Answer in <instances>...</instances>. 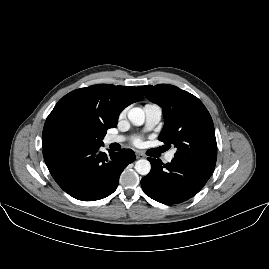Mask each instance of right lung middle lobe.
<instances>
[{"mask_svg": "<svg viewBox=\"0 0 269 269\" xmlns=\"http://www.w3.org/2000/svg\"><path fill=\"white\" fill-rule=\"evenodd\" d=\"M64 132L67 136V142L74 141L86 145L103 144L102 139L106 134V131L92 124L79 126L73 122H68L64 125Z\"/></svg>", "mask_w": 269, "mask_h": 269, "instance_id": "1", "label": "right lung middle lobe"}]
</instances>
